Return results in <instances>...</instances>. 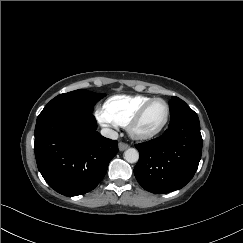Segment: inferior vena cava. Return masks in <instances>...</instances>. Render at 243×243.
I'll list each match as a JSON object with an SVG mask.
<instances>
[{"label": "inferior vena cava", "mask_w": 243, "mask_h": 243, "mask_svg": "<svg viewBox=\"0 0 243 243\" xmlns=\"http://www.w3.org/2000/svg\"><path fill=\"white\" fill-rule=\"evenodd\" d=\"M101 135L112 140H116L118 138V133L109 128H103L101 130Z\"/></svg>", "instance_id": "602c4592"}]
</instances>
